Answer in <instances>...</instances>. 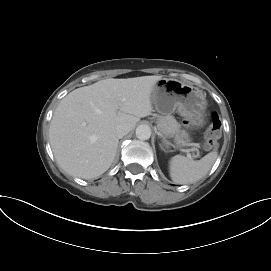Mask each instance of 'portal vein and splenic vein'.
<instances>
[{
  "mask_svg": "<svg viewBox=\"0 0 271 271\" xmlns=\"http://www.w3.org/2000/svg\"><path fill=\"white\" fill-rule=\"evenodd\" d=\"M186 153H187V157L189 158V159H191L192 157H191V154L189 153V151L188 150H184Z\"/></svg>",
  "mask_w": 271,
  "mask_h": 271,
  "instance_id": "obj_1",
  "label": "portal vein and splenic vein"
}]
</instances>
